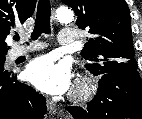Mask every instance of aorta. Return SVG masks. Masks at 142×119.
<instances>
[{"instance_id":"obj_1","label":"aorta","mask_w":142,"mask_h":119,"mask_svg":"<svg viewBox=\"0 0 142 119\" xmlns=\"http://www.w3.org/2000/svg\"><path fill=\"white\" fill-rule=\"evenodd\" d=\"M74 18L73 12L65 7L57 10L56 19L61 23H70Z\"/></svg>"}]
</instances>
